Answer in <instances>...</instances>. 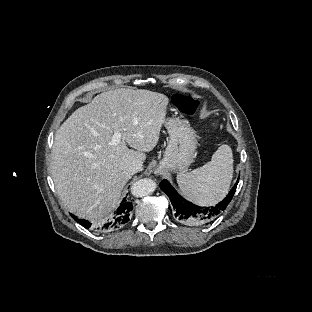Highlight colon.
Here are the masks:
<instances>
[{"mask_svg": "<svg viewBox=\"0 0 312 312\" xmlns=\"http://www.w3.org/2000/svg\"><path fill=\"white\" fill-rule=\"evenodd\" d=\"M172 103L178 111L185 115H194L199 108V104L195 99L182 94H175Z\"/></svg>", "mask_w": 312, "mask_h": 312, "instance_id": "obj_1", "label": "colon"}]
</instances>
